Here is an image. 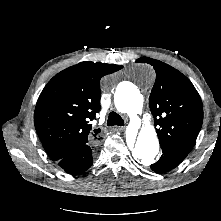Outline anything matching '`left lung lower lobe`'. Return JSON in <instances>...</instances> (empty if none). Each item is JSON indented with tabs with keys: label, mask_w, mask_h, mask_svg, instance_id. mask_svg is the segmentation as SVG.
Returning <instances> with one entry per match:
<instances>
[{
	"label": "left lung lower lobe",
	"mask_w": 221,
	"mask_h": 221,
	"mask_svg": "<svg viewBox=\"0 0 221 221\" xmlns=\"http://www.w3.org/2000/svg\"><path fill=\"white\" fill-rule=\"evenodd\" d=\"M163 155L151 169L156 173H164L177 167L188 155L187 152L170 147H162Z\"/></svg>",
	"instance_id": "left-lung-lower-lobe-1"
}]
</instances>
